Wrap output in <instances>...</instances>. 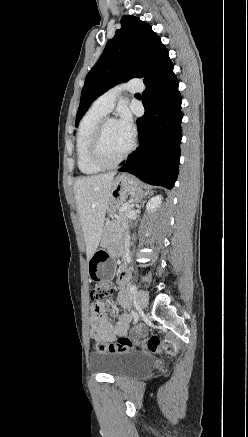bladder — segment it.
Instances as JSON below:
<instances>
[{"label":"bladder","mask_w":248,"mask_h":437,"mask_svg":"<svg viewBox=\"0 0 248 437\" xmlns=\"http://www.w3.org/2000/svg\"><path fill=\"white\" fill-rule=\"evenodd\" d=\"M90 365L98 372L114 378L149 371L154 359L143 352L91 353Z\"/></svg>","instance_id":"obj_1"}]
</instances>
